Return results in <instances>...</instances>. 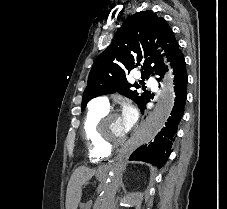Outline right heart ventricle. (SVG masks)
I'll return each instance as SVG.
<instances>
[{
  "label": "right heart ventricle",
  "mask_w": 227,
  "mask_h": 209,
  "mask_svg": "<svg viewBox=\"0 0 227 209\" xmlns=\"http://www.w3.org/2000/svg\"><path fill=\"white\" fill-rule=\"evenodd\" d=\"M107 112V108L92 107L81 127V134L88 148V158L94 164H103L111 157L112 152L105 150L96 138V125Z\"/></svg>",
  "instance_id": "1"
}]
</instances>
